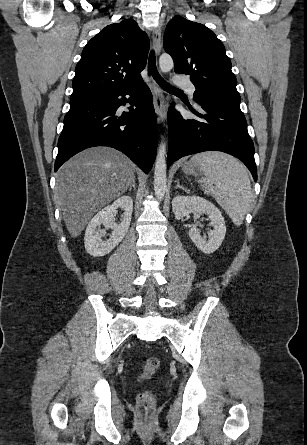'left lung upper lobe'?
Returning <instances> with one entry per match:
<instances>
[{
  "label": "left lung upper lobe",
  "instance_id": "1",
  "mask_svg": "<svg viewBox=\"0 0 307 445\" xmlns=\"http://www.w3.org/2000/svg\"><path fill=\"white\" fill-rule=\"evenodd\" d=\"M164 48L174 60L175 72L189 74L194 100L240 109L237 80L225 47L206 26L174 16L164 35Z\"/></svg>",
  "mask_w": 307,
  "mask_h": 445
}]
</instances>
